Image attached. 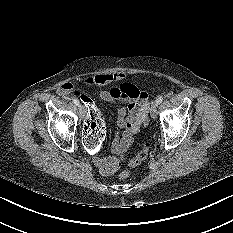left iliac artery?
I'll return each mask as SVG.
<instances>
[{
	"instance_id": "left-iliac-artery-1",
	"label": "left iliac artery",
	"mask_w": 233,
	"mask_h": 233,
	"mask_svg": "<svg viewBox=\"0 0 233 233\" xmlns=\"http://www.w3.org/2000/svg\"><path fill=\"white\" fill-rule=\"evenodd\" d=\"M162 101H163V97H162V96H160V97H158V98L156 99V103H157V104H160Z\"/></svg>"
}]
</instances>
